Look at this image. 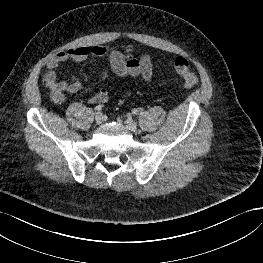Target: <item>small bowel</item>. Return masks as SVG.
Wrapping results in <instances>:
<instances>
[{"instance_id": "c3829d8e", "label": "small bowel", "mask_w": 263, "mask_h": 263, "mask_svg": "<svg viewBox=\"0 0 263 263\" xmlns=\"http://www.w3.org/2000/svg\"><path fill=\"white\" fill-rule=\"evenodd\" d=\"M90 55H94L106 61L109 70L101 73L100 79L106 80L110 75L116 78H142L149 81L152 77L153 67L149 55L142 54L139 58L132 55V48L127 47L124 51L111 50L104 46H76L66 51L55 53L47 62V71L44 82L50 88L51 98L55 103H62L66 94H74L81 90L82 83L72 77L66 80H58L56 69L66 61L82 62ZM110 94L108 87L101 88L90 97L91 103L106 102Z\"/></svg>"}]
</instances>
